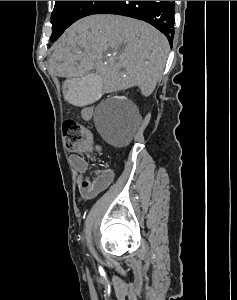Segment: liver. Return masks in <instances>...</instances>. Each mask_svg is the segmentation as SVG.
<instances>
[{
	"instance_id": "obj_1",
	"label": "liver",
	"mask_w": 237,
	"mask_h": 300,
	"mask_svg": "<svg viewBox=\"0 0 237 300\" xmlns=\"http://www.w3.org/2000/svg\"><path fill=\"white\" fill-rule=\"evenodd\" d=\"M168 51L166 37L144 21L91 15L60 37L49 67L56 77L83 76L95 69L104 78L105 93L139 87L149 97L162 77Z\"/></svg>"
}]
</instances>
